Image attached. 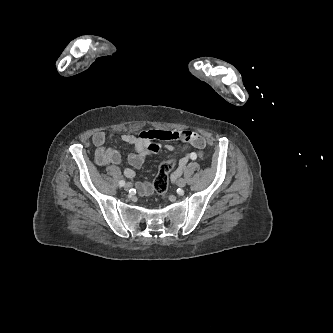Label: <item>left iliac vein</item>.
Here are the masks:
<instances>
[{
	"instance_id": "1",
	"label": "left iliac vein",
	"mask_w": 333,
	"mask_h": 333,
	"mask_svg": "<svg viewBox=\"0 0 333 333\" xmlns=\"http://www.w3.org/2000/svg\"><path fill=\"white\" fill-rule=\"evenodd\" d=\"M186 185V180L184 178H180L178 181H177V186L179 187H184Z\"/></svg>"
}]
</instances>
